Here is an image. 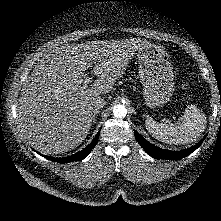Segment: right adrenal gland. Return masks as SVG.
<instances>
[{"mask_svg": "<svg viewBox=\"0 0 221 221\" xmlns=\"http://www.w3.org/2000/svg\"><path fill=\"white\" fill-rule=\"evenodd\" d=\"M98 113H99V110H95V111L93 112V117H92V120H93L92 122H93V123H95L96 117H97Z\"/></svg>", "mask_w": 221, "mask_h": 221, "instance_id": "1", "label": "right adrenal gland"}]
</instances>
